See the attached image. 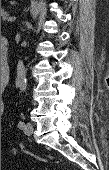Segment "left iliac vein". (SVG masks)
<instances>
[{
  "instance_id": "left-iliac-vein-1",
  "label": "left iliac vein",
  "mask_w": 109,
  "mask_h": 170,
  "mask_svg": "<svg viewBox=\"0 0 109 170\" xmlns=\"http://www.w3.org/2000/svg\"><path fill=\"white\" fill-rule=\"evenodd\" d=\"M23 131L26 135L30 136L33 133V125L30 122H27L23 128Z\"/></svg>"
}]
</instances>
